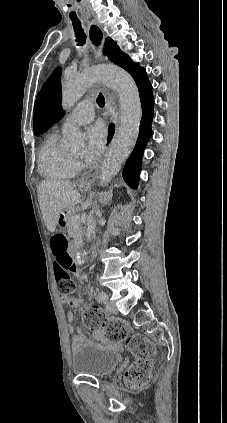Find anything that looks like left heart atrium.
Instances as JSON below:
<instances>
[{"mask_svg": "<svg viewBox=\"0 0 227 423\" xmlns=\"http://www.w3.org/2000/svg\"><path fill=\"white\" fill-rule=\"evenodd\" d=\"M108 132L104 125L98 124L88 131V146L85 151V159L89 163L99 160L106 148Z\"/></svg>", "mask_w": 227, "mask_h": 423, "instance_id": "left-heart-atrium-1", "label": "left heart atrium"}]
</instances>
